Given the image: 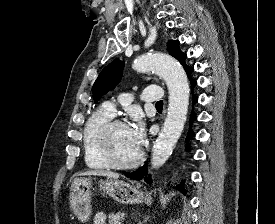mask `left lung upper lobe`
<instances>
[{
  "mask_svg": "<svg viewBox=\"0 0 275 224\" xmlns=\"http://www.w3.org/2000/svg\"><path fill=\"white\" fill-rule=\"evenodd\" d=\"M168 51L170 54L178 59L180 63L183 65L186 73L193 69L189 67L185 63L186 54L182 53L179 49V41L170 40L168 42ZM124 68L123 61L119 59H115L108 66H106L98 78L96 79L93 85V99L98 101L104 94H106L109 90L114 88L115 85L119 83L122 77V72Z\"/></svg>",
  "mask_w": 275,
  "mask_h": 224,
  "instance_id": "left-lung-upper-lobe-1",
  "label": "left lung upper lobe"
}]
</instances>
